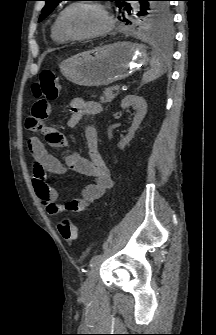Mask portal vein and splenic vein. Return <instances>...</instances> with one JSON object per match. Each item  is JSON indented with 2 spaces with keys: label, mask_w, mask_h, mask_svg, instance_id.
I'll list each match as a JSON object with an SVG mask.
<instances>
[{
  "label": "portal vein and splenic vein",
  "mask_w": 216,
  "mask_h": 335,
  "mask_svg": "<svg viewBox=\"0 0 216 335\" xmlns=\"http://www.w3.org/2000/svg\"><path fill=\"white\" fill-rule=\"evenodd\" d=\"M114 90H115V91H119V90H120V85H119V84H116V85L114 86Z\"/></svg>",
  "instance_id": "18ae733b"
}]
</instances>
